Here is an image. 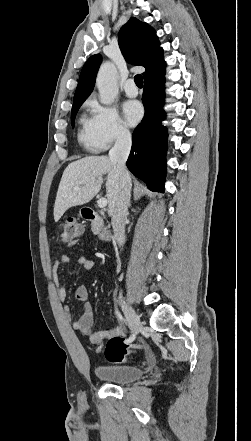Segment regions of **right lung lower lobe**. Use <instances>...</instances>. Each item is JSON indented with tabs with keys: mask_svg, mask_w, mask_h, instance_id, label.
Segmentation results:
<instances>
[{
	"mask_svg": "<svg viewBox=\"0 0 251 441\" xmlns=\"http://www.w3.org/2000/svg\"><path fill=\"white\" fill-rule=\"evenodd\" d=\"M164 83L165 68L144 79L145 115L133 132L131 153L126 162L131 173L143 180L150 190L161 193L164 192L167 150V132L161 125L165 118Z\"/></svg>",
	"mask_w": 251,
	"mask_h": 441,
	"instance_id": "98d812e1",
	"label": "right lung lower lobe"
}]
</instances>
